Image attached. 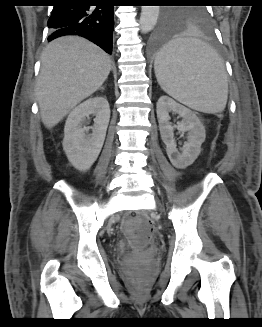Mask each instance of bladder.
<instances>
[{
	"mask_svg": "<svg viewBox=\"0 0 262 327\" xmlns=\"http://www.w3.org/2000/svg\"><path fill=\"white\" fill-rule=\"evenodd\" d=\"M137 264H138L137 260L130 258V259L124 260L122 263V266L125 269H130V268H133L134 266H136Z\"/></svg>",
	"mask_w": 262,
	"mask_h": 327,
	"instance_id": "obj_1",
	"label": "bladder"
}]
</instances>
